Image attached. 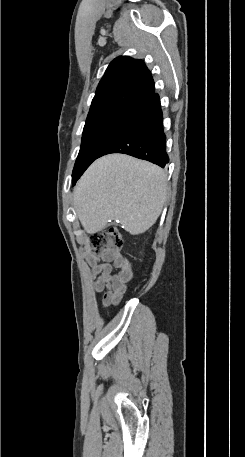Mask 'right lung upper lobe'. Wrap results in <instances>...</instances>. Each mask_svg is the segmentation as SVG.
Returning a JSON list of instances; mask_svg holds the SVG:
<instances>
[{"label":"right lung upper lobe","mask_w":245,"mask_h":457,"mask_svg":"<svg viewBox=\"0 0 245 457\" xmlns=\"http://www.w3.org/2000/svg\"><path fill=\"white\" fill-rule=\"evenodd\" d=\"M154 92V81L142 60L120 56L108 66L93 98L89 113L129 111Z\"/></svg>","instance_id":"right-lung-upper-lobe-1"}]
</instances>
